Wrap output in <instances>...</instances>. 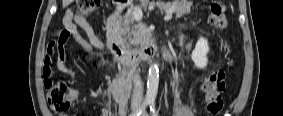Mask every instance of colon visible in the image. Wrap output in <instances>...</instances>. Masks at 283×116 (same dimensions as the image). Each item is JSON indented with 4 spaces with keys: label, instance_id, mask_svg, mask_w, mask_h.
<instances>
[{
    "label": "colon",
    "instance_id": "5ec220e1",
    "mask_svg": "<svg viewBox=\"0 0 283 116\" xmlns=\"http://www.w3.org/2000/svg\"><path fill=\"white\" fill-rule=\"evenodd\" d=\"M99 0H79L78 12L81 15H90L98 7ZM209 23L216 32H221L227 25L225 5L222 1L216 0L211 3ZM67 37L66 33H63ZM44 85L47 88V102L57 113H63L70 109L76 93L64 81L55 82L44 75ZM226 88V72L222 67L210 69L204 78L202 89L206 96L207 110L210 114L216 115L223 108L222 93Z\"/></svg>",
    "mask_w": 283,
    "mask_h": 116
}]
</instances>
